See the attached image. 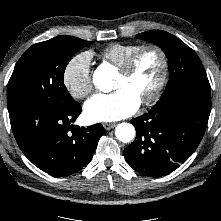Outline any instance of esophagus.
<instances>
[{
	"instance_id": "obj_1",
	"label": "esophagus",
	"mask_w": 221,
	"mask_h": 221,
	"mask_svg": "<svg viewBox=\"0 0 221 221\" xmlns=\"http://www.w3.org/2000/svg\"><path fill=\"white\" fill-rule=\"evenodd\" d=\"M103 126L106 130H111L112 128L115 127V124L114 123H104Z\"/></svg>"
}]
</instances>
